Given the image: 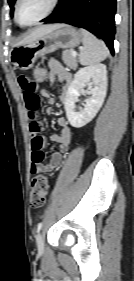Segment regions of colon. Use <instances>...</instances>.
I'll use <instances>...</instances> for the list:
<instances>
[{
	"mask_svg": "<svg viewBox=\"0 0 134 281\" xmlns=\"http://www.w3.org/2000/svg\"><path fill=\"white\" fill-rule=\"evenodd\" d=\"M47 71L38 67L34 71V79L37 83H43L47 79ZM49 191V183L45 176L37 175L31 185V205L35 208L44 204Z\"/></svg>",
	"mask_w": 134,
	"mask_h": 281,
	"instance_id": "5ec220e1",
	"label": "colon"
}]
</instances>
